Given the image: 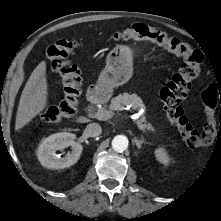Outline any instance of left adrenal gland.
I'll use <instances>...</instances> for the list:
<instances>
[{"label":"left adrenal gland","instance_id":"left-adrenal-gland-1","mask_svg":"<svg viewBox=\"0 0 221 221\" xmlns=\"http://www.w3.org/2000/svg\"><path fill=\"white\" fill-rule=\"evenodd\" d=\"M134 142H135L138 149H140L142 147L143 143H146L143 138H142V140H140V139L138 140L137 138H134Z\"/></svg>","mask_w":221,"mask_h":221}]
</instances>
